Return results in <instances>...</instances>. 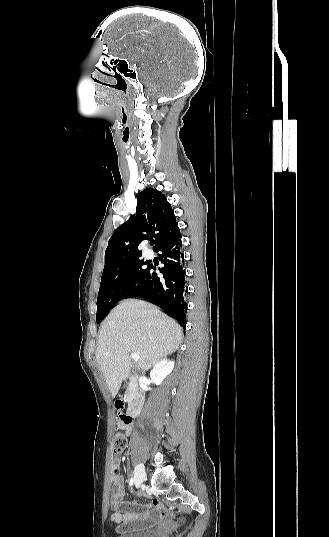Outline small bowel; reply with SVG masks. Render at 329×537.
I'll list each match as a JSON object with an SVG mask.
<instances>
[{"mask_svg": "<svg viewBox=\"0 0 329 537\" xmlns=\"http://www.w3.org/2000/svg\"><path fill=\"white\" fill-rule=\"evenodd\" d=\"M117 426L126 433L132 431V424L117 422ZM114 464L120 465L121 459L116 456ZM124 496V483L120 476L113 480V488L110 496V504L114 510L111 515L112 521L120 524L118 531L121 533L142 530L152 526L163 517L161 504L155 498L149 504L139 501H126ZM123 511V513L121 512Z\"/></svg>", "mask_w": 329, "mask_h": 537, "instance_id": "1", "label": "small bowel"}]
</instances>
